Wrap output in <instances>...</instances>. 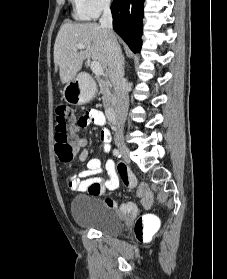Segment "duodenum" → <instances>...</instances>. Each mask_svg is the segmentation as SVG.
I'll return each instance as SVG.
<instances>
[{"label":"duodenum","instance_id":"duodenum-1","mask_svg":"<svg viewBox=\"0 0 227 279\" xmlns=\"http://www.w3.org/2000/svg\"><path fill=\"white\" fill-rule=\"evenodd\" d=\"M107 117H108L109 121L113 124H116L118 122L116 111L113 108L108 109Z\"/></svg>","mask_w":227,"mask_h":279}]
</instances>
